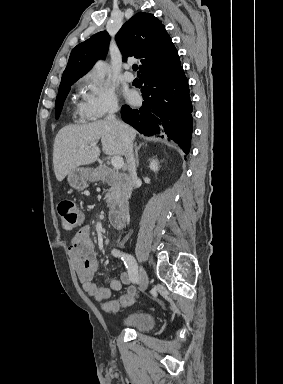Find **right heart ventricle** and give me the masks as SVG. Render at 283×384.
Masks as SVG:
<instances>
[{
  "label": "right heart ventricle",
  "mask_w": 283,
  "mask_h": 384,
  "mask_svg": "<svg viewBox=\"0 0 283 384\" xmlns=\"http://www.w3.org/2000/svg\"><path fill=\"white\" fill-rule=\"evenodd\" d=\"M73 110L75 113H78L79 114V110H80V104H77L75 101H73Z\"/></svg>",
  "instance_id": "1"
}]
</instances>
